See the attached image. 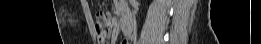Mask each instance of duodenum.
<instances>
[{
    "mask_svg": "<svg viewBox=\"0 0 261 44\" xmlns=\"http://www.w3.org/2000/svg\"><path fill=\"white\" fill-rule=\"evenodd\" d=\"M119 22H120L121 31L125 35L130 36L133 28V19L131 15H126L124 12H121Z\"/></svg>",
    "mask_w": 261,
    "mask_h": 44,
    "instance_id": "obj_1",
    "label": "duodenum"
}]
</instances>
